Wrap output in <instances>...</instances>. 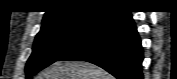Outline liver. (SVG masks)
Returning <instances> with one entry per match:
<instances>
[{"label":"liver","instance_id":"obj_1","mask_svg":"<svg viewBox=\"0 0 177 79\" xmlns=\"http://www.w3.org/2000/svg\"><path fill=\"white\" fill-rule=\"evenodd\" d=\"M37 79H112V76L89 62L62 61L44 69Z\"/></svg>","mask_w":177,"mask_h":79}]
</instances>
